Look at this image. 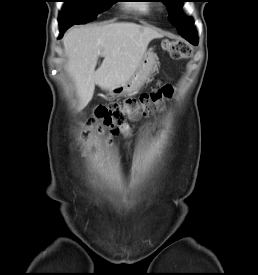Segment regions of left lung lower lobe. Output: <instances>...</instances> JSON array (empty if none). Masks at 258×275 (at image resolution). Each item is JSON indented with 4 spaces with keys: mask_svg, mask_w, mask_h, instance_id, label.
<instances>
[{
    "mask_svg": "<svg viewBox=\"0 0 258 275\" xmlns=\"http://www.w3.org/2000/svg\"><path fill=\"white\" fill-rule=\"evenodd\" d=\"M183 38L193 45L198 44V37L195 28L188 30L186 33L180 34Z\"/></svg>",
    "mask_w": 258,
    "mask_h": 275,
    "instance_id": "1",
    "label": "left lung lower lobe"
}]
</instances>
